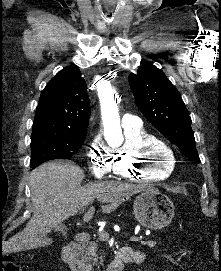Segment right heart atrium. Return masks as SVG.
I'll return each instance as SVG.
<instances>
[{"instance_id":"obj_1","label":"right heart atrium","mask_w":221,"mask_h":271,"mask_svg":"<svg viewBox=\"0 0 221 271\" xmlns=\"http://www.w3.org/2000/svg\"><path fill=\"white\" fill-rule=\"evenodd\" d=\"M93 150L90 151V156L94 157L87 158V166L90 170H95V177H106V173H114L110 170V167L112 161H116L119 154H113V151H103V146H94Z\"/></svg>"}]
</instances>
